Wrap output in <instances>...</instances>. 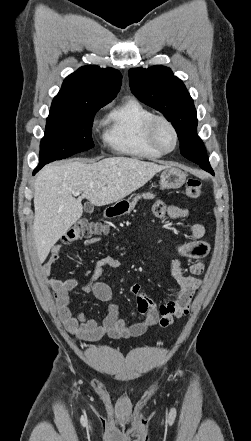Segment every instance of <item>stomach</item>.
Instances as JSON below:
<instances>
[{"mask_svg": "<svg viewBox=\"0 0 251 441\" xmlns=\"http://www.w3.org/2000/svg\"><path fill=\"white\" fill-rule=\"evenodd\" d=\"M185 181L186 174L177 167H168L160 175L161 189H179ZM113 207L117 210V214H123L131 209L127 200H120Z\"/></svg>", "mask_w": 251, "mask_h": 441, "instance_id": "stomach-1", "label": "stomach"}]
</instances>
